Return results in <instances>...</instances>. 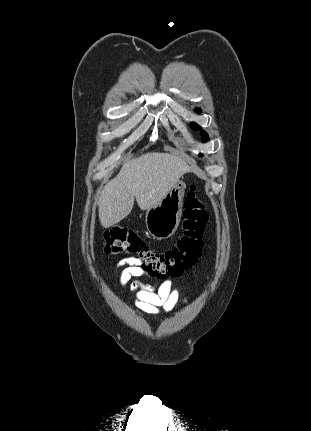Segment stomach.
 Here are the masks:
<instances>
[{"instance_id": "stomach-1", "label": "stomach", "mask_w": 311, "mask_h": 431, "mask_svg": "<svg viewBox=\"0 0 311 431\" xmlns=\"http://www.w3.org/2000/svg\"><path fill=\"white\" fill-rule=\"evenodd\" d=\"M185 188V182L178 180L161 202L147 210L145 223L148 233L154 239H167L178 229L183 212Z\"/></svg>"}]
</instances>
